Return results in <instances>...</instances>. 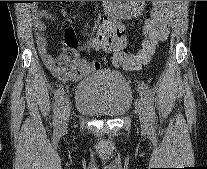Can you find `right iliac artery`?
<instances>
[{"instance_id": "1", "label": "right iliac artery", "mask_w": 207, "mask_h": 169, "mask_svg": "<svg viewBox=\"0 0 207 169\" xmlns=\"http://www.w3.org/2000/svg\"><path fill=\"white\" fill-rule=\"evenodd\" d=\"M55 103H54V126L56 128L60 127V120L62 116L63 111V105H64V90L63 88H59L56 91L55 94Z\"/></svg>"}]
</instances>
